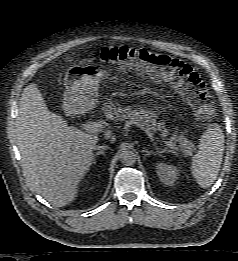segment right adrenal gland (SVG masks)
<instances>
[{
	"label": "right adrenal gland",
	"mask_w": 238,
	"mask_h": 261,
	"mask_svg": "<svg viewBox=\"0 0 238 261\" xmlns=\"http://www.w3.org/2000/svg\"><path fill=\"white\" fill-rule=\"evenodd\" d=\"M107 149H108L107 146H101V150L98 151V152L95 154V156H94L93 163H95V161H96V156H98V155H103V156H105L104 151L107 150Z\"/></svg>",
	"instance_id": "right-adrenal-gland-1"
}]
</instances>
